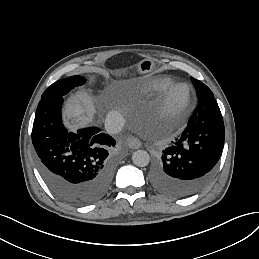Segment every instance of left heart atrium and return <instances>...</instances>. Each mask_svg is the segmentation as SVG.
<instances>
[{"mask_svg": "<svg viewBox=\"0 0 259 259\" xmlns=\"http://www.w3.org/2000/svg\"><path fill=\"white\" fill-rule=\"evenodd\" d=\"M170 153H177L180 151V148L179 147H169L167 149Z\"/></svg>", "mask_w": 259, "mask_h": 259, "instance_id": "39dd6f15", "label": "left heart atrium"}]
</instances>
